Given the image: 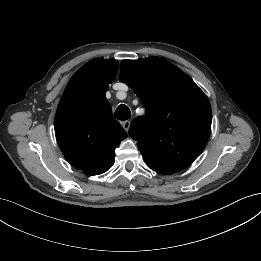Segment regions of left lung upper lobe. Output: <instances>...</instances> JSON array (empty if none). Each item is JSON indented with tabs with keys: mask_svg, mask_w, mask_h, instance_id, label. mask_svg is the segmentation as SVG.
<instances>
[{
	"mask_svg": "<svg viewBox=\"0 0 261 261\" xmlns=\"http://www.w3.org/2000/svg\"><path fill=\"white\" fill-rule=\"evenodd\" d=\"M121 81L142 100L146 118L137 117L130 136L146 164L173 174L203 151L211 131V107L203 91L179 68L161 57L123 60Z\"/></svg>",
	"mask_w": 261,
	"mask_h": 261,
	"instance_id": "1",
	"label": "left lung upper lobe"
}]
</instances>
